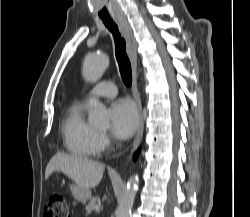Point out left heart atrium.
I'll return each mask as SVG.
<instances>
[{
    "label": "left heart atrium",
    "instance_id": "obj_1",
    "mask_svg": "<svg viewBox=\"0 0 250 217\" xmlns=\"http://www.w3.org/2000/svg\"><path fill=\"white\" fill-rule=\"evenodd\" d=\"M111 130L121 139L132 136L139 124L136 106L128 99L115 101L110 108Z\"/></svg>",
    "mask_w": 250,
    "mask_h": 217
}]
</instances>
